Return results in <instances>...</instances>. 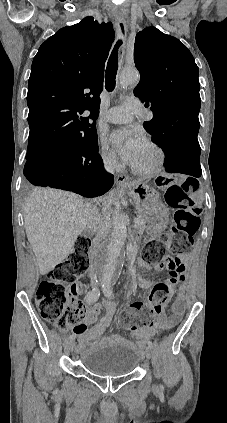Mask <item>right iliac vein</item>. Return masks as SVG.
<instances>
[{
  "label": "right iliac vein",
  "mask_w": 227,
  "mask_h": 423,
  "mask_svg": "<svg viewBox=\"0 0 227 423\" xmlns=\"http://www.w3.org/2000/svg\"><path fill=\"white\" fill-rule=\"evenodd\" d=\"M74 347H75V340L72 339L67 344V350H69V352H72V350L74 349Z\"/></svg>",
  "instance_id": "obj_1"
}]
</instances>
